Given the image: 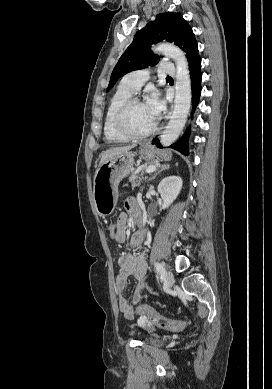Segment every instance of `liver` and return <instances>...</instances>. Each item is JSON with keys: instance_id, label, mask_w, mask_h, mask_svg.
I'll return each mask as SVG.
<instances>
[{"instance_id": "liver-1", "label": "liver", "mask_w": 272, "mask_h": 389, "mask_svg": "<svg viewBox=\"0 0 272 389\" xmlns=\"http://www.w3.org/2000/svg\"><path fill=\"white\" fill-rule=\"evenodd\" d=\"M135 146H136L135 144H132L128 146L114 147L106 150L101 154L99 166L111 158H114L122 153L128 152L129 150L133 149Z\"/></svg>"}]
</instances>
